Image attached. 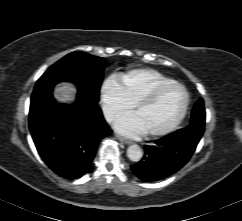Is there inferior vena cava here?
I'll list each match as a JSON object with an SVG mask.
<instances>
[{
  "mask_svg": "<svg viewBox=\"0 0 242 221\" xmlns=\"http://www.w3.org/2000/svg\"><path fill=\"white\" fill-rule=\"evenodd\" d=\"M102 110H103L104 117L108 122H111L114 120L116 113L112 107L108 105H104Z\"/></svg>",
  "mask_w": 242,
  "mask_h": 221,
  "instance_id": "inferior-vena-cava-1",
  "label": "inferior vena cava"
}]
</instances>
